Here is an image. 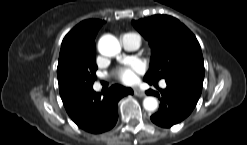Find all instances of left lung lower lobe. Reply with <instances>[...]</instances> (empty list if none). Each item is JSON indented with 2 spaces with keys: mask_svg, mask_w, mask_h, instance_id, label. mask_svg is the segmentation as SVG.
Returning <instances> with one entry per match:
<instances>
[{
  "mask_svg": "<svg viewBox=\"0 0 247 145\" xmlns=\"http://www.w3.org/2000/svg\"><path fill=\"white\" fill-rule=\"evenodd\" d=\"M166 89H149L148 95L157 96L161 103L151 120L158 126L169 128L184 120L196 106L201 95L203 82L183 76L165 78ZM149 84L153 82L146 81Z\"/></svg>",
  "mask_w": 247,
  "mask_h": 145,
  "instance_id": "1",
  "label": "left lung lower lobe"
}]
</instances>
